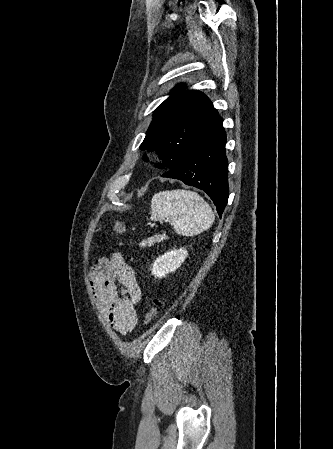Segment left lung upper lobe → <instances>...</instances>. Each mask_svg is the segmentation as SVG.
Instances as JSON below:
<instances>
[{
    "instance_id": "left-lung-upper-lobe-1",
    "label": "left lung upper lobe",
    "mask_w": 333,
    "mask_h": 449,
    "mask_svg": "<svg viewBox=\"0 0 333 449\" xmlns=\"http://www.w3.org/2000/svg\"><path fill=\"white\" fill-rule=\"evenodd\" d=\"M171 96L154 111L153 120L141 150L160 151L166 171L176 169L185 160L197 132L214 109L212 102L200 91H186L179 84Z\"/></svg>"
}]
</instances>
